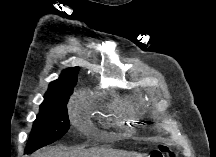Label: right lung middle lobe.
<instances>
[{
  "label": "right lung middle lobe",
  "mask_w": 216,
  "mask_h": 157,
  "mask_svg": "<svg viewBox=\"0 0 216 157\" xmlns=\"http://www.w3.org/2000/svg\"><path fill=\"white\" fill-rule=\"evenodd\" d=\"M72 93L73 90L60 92L40 106L25 148L26 154L53 143L68 131L70 122L66 105Z\"/></svg>",
  "instance_id": "1"
}]
</instances>
